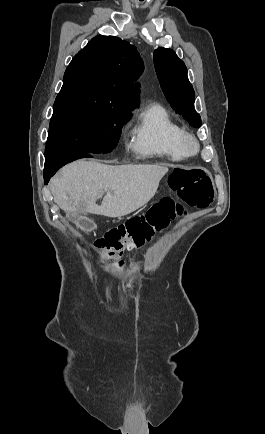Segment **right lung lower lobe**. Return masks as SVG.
Returning a JSON list of instances; mask_svg holds the SVG:
<instances>
[{
    "label": "right lung lower lobe",
    "instance_id": "right-lung-lower-lobe-1",
    "mask_svg": "<svg viewBox=\"0 0 265 434\" xmlns=\"http://www.w3.org/2000/svg\"><path fill=\"white\" fill-rule=\"evenodd\" d=\"M94 156V154H78L46 160L44 169V184H48L49 179L56 173L58 169H60L65 164L80 158H90Z\"/></svg>",
    "mask_w": 265,
    "mask_h": 434
}]
</instances>
